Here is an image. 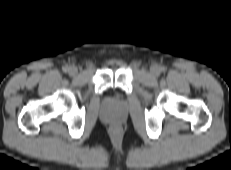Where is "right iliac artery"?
Instances as JSON below:
<instances>
[{
    "label": "right iliac artery",
    "mask_w": 231,
    "mask_h": 170,
    "mask_svg": "<svg viewBox=\"0 0 231 170\" xmlns=\"http://www.w3.org/2000/svg\"><path fill=\"white\" fill-rule=\"evenodd\" d=\"M62 70H63L64 72H67V71L69 70V68H68V66H64V67L62 68Z\"/></svg>",
    "instance_id": "1"
}]
</instances>
